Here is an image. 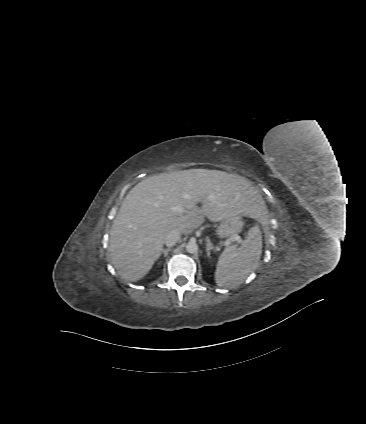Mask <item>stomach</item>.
<instances>
[{"mask_svg": "<svg viewBox=\"0 0 366 424\" xmlns=\"http://www.w3.org/2000/svg\"><path fill=\"white\" fill-rule=\"evenodd\" d=\"M243 228L241 216L227 218L221 221L217 229V235L220 238H226L238 234Z\"/></svg>", "mask_w": 366, "mask_h": 424, "instance_id": "0dacf381", "label": "stomach"}]
</instances>
